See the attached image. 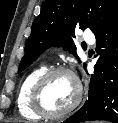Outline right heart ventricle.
<instances>
[{
    "instance_id": "obj_1",
    "label": "right heart ventricle",
    "mask_w": 118,
    "mask_h": 123,
    "mask_svg": "<svg viewBox=\"0 0 118 123\" xmlns=\"http://www.w3.org/2000/svg\"><path fill=\"white\" fill-rule=\"evenodd\" d=\"M47 70L45 66H39L31 70L21 82L17 93V108L22 117L31 120H39L41 115L31 107V92L37 79Z\"/></svg>"
}]
</instances>
